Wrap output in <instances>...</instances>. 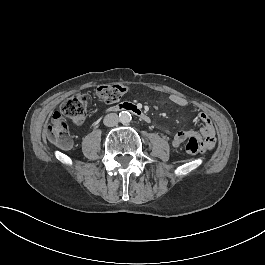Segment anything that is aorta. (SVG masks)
Wrapping results in <instances>:
<instances>
[{"instance_id": "obj_1", "label": "aorta", "mask_w": 265, "mask_h": 265, "mask_svg": "<svg viewBox=\"0 0 265 265\" xmlns=\"http://www.w3.org/2000/svg\"><path fill=\"white\" fill-rule=\"evenodd\" d=\"M132 120V116H131V113L128 112V111H122L120 114H119V121L122 123V124H128L130 123Z\"/></svg>"}]
</instances>
